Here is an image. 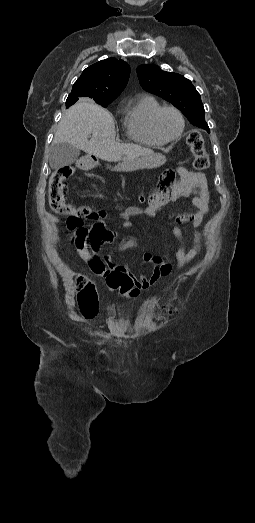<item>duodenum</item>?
Wrapping results in <instances>:
<instances>
[{"mask_svg":"<svg viewBox=\"0 0 255 523\" xmlns=\"http://www.w3.org/2000/svg\"><path fill=\"white\" fill-rule=\"evenodd\" d=\"M97 159L93 155H87L82 157L79 162L78 166L83 171H91L97 167Z\"/></svg>","mask_w":255,"mask_h":523,"instance_id":"duodenum-1","label":"duodenum"}]
</instances>
